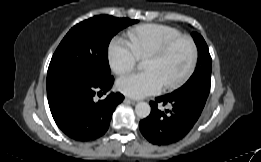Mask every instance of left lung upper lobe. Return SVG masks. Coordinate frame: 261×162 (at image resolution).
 Returning <instances> with one entry per match:
<instances>
[{
  "instance_id": "obj_1",
  "label": "left lung upper lobe",
  "mask_w": 261,
  "mask_h": 162,
  "mask_svg": "<svg viewBox=\"0 0 261 162\" xmlns=\"http://www.w3.org/2000/svg\"><path fill=\"white\" fill-rule=\"evenodd\" d=\"M192 36L198 48L196 69L189 80L178 90L199 89L209 94L211 82V56L203 37L196 32H193Z\"/></svg>"
}]
</instances>
